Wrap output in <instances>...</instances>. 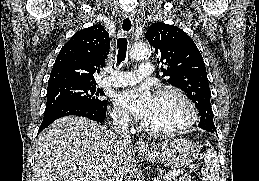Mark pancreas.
Segmentation results:
<instances>
[{"label":"pancreas","mask_w":259,"mask_h":181,"mask_svg":"<svg viewBox=\"0 0 259 181\" xmlns=\"http://www.w3.org/2000/svg\"><path fill=\"white\" fill-rule=\"evenodd\" d=\"M178 181H191V177L188 174L183 175Z\"/></svg>","instance_id":"obj_1"}]
</instances>
